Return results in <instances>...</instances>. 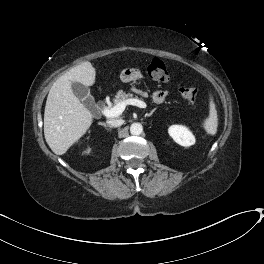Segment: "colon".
Here are the masks:
<instances>
[{
  "mask_svg": "<svg viewBox=\"0 0 264 264\" xmlns=\"http://www.w3.org/2000/svg\"><path fill=\"white\" fill-rule=\"evenodd\" d=\"M147 73L153 80L166 81L169 78V73L165 64L159 59L151 61L147 68ZM198 90L193 87L180 88V94L183 99L188 101H195L198 97Z\"/></svg>",
  "mask_w": 264,
  "mask_h": 264,
  "instance_id": "1",
  "label": "colon"
}]
</instances>
